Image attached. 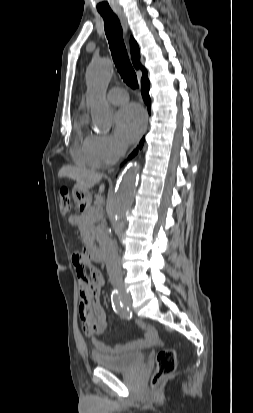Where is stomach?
Segmentation results:
<instances>
[{
    "mask_svg": "<svg viewBox=\"0 0 253 413\" xmlns=\"http://www.w3.org/2000/svg\"><path fill=\"white\" fill-rule=\"evenodd\" d=\"M72 197L74 201L82 207L88 205L91 200L90 192L88 190L81 188L77 184L74 186L72 190Z\"/></svg>",
    "mask_w": 253,
    "mask_h": 413,
    "instance_id": "0dacf381",
    "label": "stomach"
}]
</instances>
